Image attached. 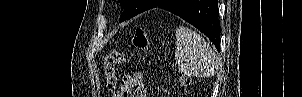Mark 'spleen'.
Returning a JSON list of instances; mask_svg holds the SVG:
<instances>
[{
  "label": "spleen",
  "mask_w": 302,
  "mask_h": 97,
  "mask_svg": "<svg viewBox=\"0 0 302 97\" xmlns=\"http://www.w3.org/2000/svg\"><path fill=\"white\" fill-rule=\"evenodd\" d=\"M175 36V55L184 61L178 69L188 76L200 78L213 76L218 68V62L209 44L198 33L185 26L178 27Z\"/></svg>",
  "instance_id": "1"
}]
</instances>
